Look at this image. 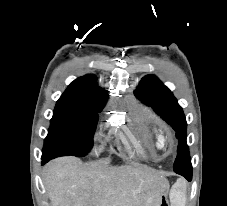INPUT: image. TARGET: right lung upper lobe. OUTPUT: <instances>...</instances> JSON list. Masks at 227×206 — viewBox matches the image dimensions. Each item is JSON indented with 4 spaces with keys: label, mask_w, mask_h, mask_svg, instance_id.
Masks as SVG:
<instances>
[{
    "label": "right lung upper lobe",
    "mask_w": 227,
    "mask_h": 206,
    "mask_svg": "<svg viewBox=\"0 0 227 206\" xmlns=\"http://www.w3.org/2000/svg\"><path fill=\"white\" fill-rule=\"evenodd\" d=\"M95 76L86 75L74 80L63 93V97L71 98H104L108 97L105 90L94 83Z\"/></svg>",
    "instance_id": "right-lung-upper-lobe-1"
}]
</instances>
